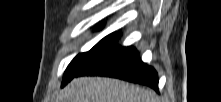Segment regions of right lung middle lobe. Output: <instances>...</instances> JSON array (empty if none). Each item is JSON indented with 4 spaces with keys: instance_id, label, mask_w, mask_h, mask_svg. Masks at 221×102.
Wrapping results in <instances>:
<instances>
[{
    "instance_id": "1",
    "label": "right lung middle lobe",
    "mask_w": 221,
    "mask_h": 102,
    "mask_svg": "<svg viewBox=\"0 0 221 102\" xmlns=\"http://www.w3.org/2000/svg\"><path fill=\"white\" fill-rule=\"evenodd\" d=\"M103 25L97 27V29H101ZM119 35L116 33L109 34L105 38H103L98 44H96L90 51L85 53H79L69 64L67 67L64 77L70 76L71 74L75 73L77 70L81 69L85 66L88 62H90L93 58L97 55L104 52L108 47L114 44Z\"/></svg>"
}]
</instances>
